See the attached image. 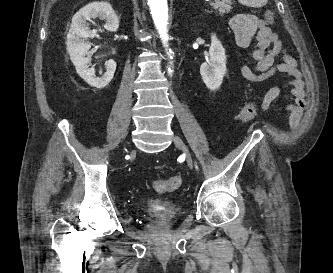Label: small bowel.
I'll return each mask as SVG.
<instances>
[{
	"instance_id": "c3829d8e",
	"label": "small bowel",
	"mask_w": 333,
	"mask_h": 273,
	"mask_svg": "<svg viewBox=\"0 0 333 273\" xmlns=\"http://www.w3.org/2000/svg\"><path fill=\"white\" fill-rule=\"evenodd\" d=\"M230 27L237 45L251 49V57L255 61L252 66L245 63L240 65L239 73L244 79L260 83L277 72L285 73L289 77L286 87L275 86L267 90L259 103V109L267 110L277 98L287 93L291 99L287 108L295 121L303 107L302 79L295 59L286 51L278 34L265 20L249 12L235 13L230 18Z\"/></svg>"
}]
</instances>
